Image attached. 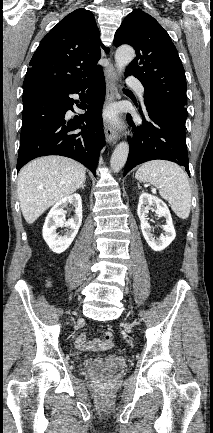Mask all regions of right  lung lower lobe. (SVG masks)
Here are the masks:
<instances>
[{
    "label": "right lung lower lobe",
    "instance_id": "right-lung-lower-lobe-1",
    "mask_svg": "<svg viewBox=\"0 0 213 433\" xmlns=\"http://www.w3.org/2000/svg\"><path fill=\"white\" fill-rule=\"evenodd\" d=\"M79 94L85 114L68 119L77 101L69 97ZM105 79L102 70L86 81L67 89L41 88L23 91V118L17 171L30 160L45 155L73 158L95 175L98 155L105 145L102 105ZM87 124L81 126L83 122Z\"/></svg>",
    "mask_w": 213,
    "mask_h": 433
}]
</instances>
